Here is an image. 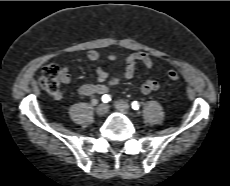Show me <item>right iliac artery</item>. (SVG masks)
I'll list each match as a JSON object with an SVG mask.
<instances>
[{
    "mask_svg": "<svg viewBox=\"0 0 230 186\" xmlns=\"http://www.w3.org/2000/svg\"><path fill=\"white\" fill-rule=\"evenodd\" d=\"M102 101H103L104 103H108L109 101H111V96H110V95H107V94L103 95V96H102Z\"/></svg>",
    "mask_w": 230,
    "mask_h": 186,
    "instance_id": "right-iliac-artery-1",
    "label": "right iliac artery"
}]
</instances>
